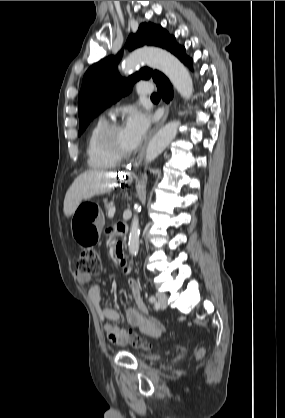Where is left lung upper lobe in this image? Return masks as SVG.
Segmentation results:
<instances>
[{
    "label": "left lung upper lobe",
    "mask_w": 285,
    "mask_h": 418,
    "mask_svg": "<svg viewBox=\"0 0 285 418\" xmlns=\"http://www.w3.org/2000/svg\"><path fill=\"white\" fill-rule=\"evenodd\" d=\"M175 41V37L170 36L160 25L142 23L137 33L129 36L126 47L133 50L144 45H153L169 51ZM121 56L122 51L115 57L104 58L85 73L78 98V135L84 132L94 117L117 102L121 96L128 94L136 81L150 78L156 81L161 74L156 70L142 68L128 78H121L117 71Z\"/></svg>",
    "instance_id": "obj_1"
}]
</instances>
